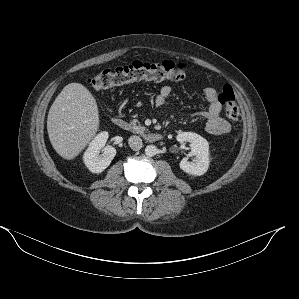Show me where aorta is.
<instances>
[{"instance_id":"aorta-1","label":"aorta","mask_w":299,"mask_h":299,"mask_svg":"<svg viewBox=\"0 0 299 299\" xmlns=\"http://www.w3.org/2000/svg\"><path fill=\"white\" fill-rule=\"evenodd\" d=\"M158 153V149L155 145H148L145 148V154L149 157H153Z\"/></svg>"}]
</instances>
